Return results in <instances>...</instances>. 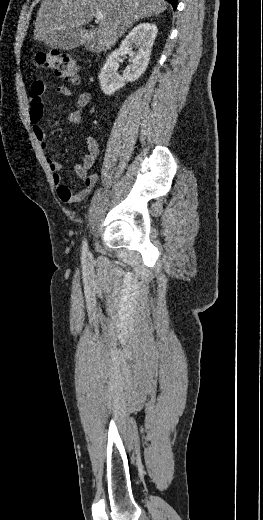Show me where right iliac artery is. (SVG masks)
<instances>
[{
	"label": "right iliac artery",
	"mask_w": 263,
	"mask_h": 520,
	"mask_svg": "<svg viewBox=\"0 0 263 520\" xmlns=\"http://www.w3.org/2000/svg\"><path fill=\"white\" fill-rule=\"evenodd\" d=\"M88 252V247H87V242L86 240L83 241V246H82V254L85 256Z\"/></svg>",
	"instance_id": "obj_1"
}]
</instances>
